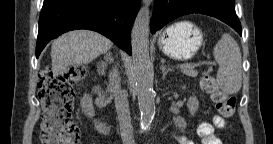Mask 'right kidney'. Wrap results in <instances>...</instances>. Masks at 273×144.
<instances>
[{"instance_id": "obj_1", "label": "right kidney", "mask_w": 273, "mask_h": 144, "mask_svg": "<svg viewBox=\"0 0 273 144\" xmlns=\"http://www.w3.org/2000/svg\"><path fill=\"white\" fill-rule=\"evenodd\" d=\"M81 107L87 116H89V117L94 116L95 112H94V108H93V104H92V99L89 96L85 95L82 98Z\"/></svg>"}]
</instances>
